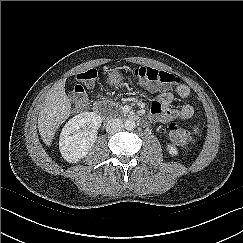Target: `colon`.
Returning <instances> with one entry per match:
<instances>
[{
	"instance_id": "1",
	"label": "colon",
	"mask_w": 243,
	"mask_h": 243,
	"mask_svg": "<svg viewBox=\"0 0 243 243\" xmlns=\"http://www.w3.org/2000/svg\"><path fill=\"white\" fill-rule=\"evenodd\" d=\"M132 74L140 81L159 85L163 87H173L180 82V79L169 72L154 69L151 67H136L132 69ZM98 76L96 69H89L76 75V84L73 86L70 97L75 107L85 109L87 107L86 91L84 84H91ZM170 138L178 144H186L191 140V134L178 123L172 122L168 125Z\"/></svg>"
}]
</instances>
